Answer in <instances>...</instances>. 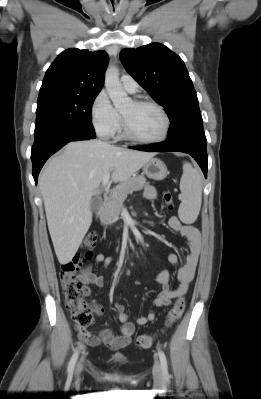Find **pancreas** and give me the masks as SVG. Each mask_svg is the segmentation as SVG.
I'll list each match as a JSON object with an SVG mask.
<instances>
[{
  "label": "pancreas",
  "mask_w": 261,
  "mask_h": 399,
  "mask_svg": "<svg viewBox=\"0 0 261 399\" xmlns=\"http://www.w3.org/2000/svg\"><path fill=\"white\" fill-rule=\"evenodd\" d=\"M148 184L143 175L131 177L119 184L112 191L110 202L104 207L100 215L102 224L108 225L116 222L128 194L133 193V191H139Z\"/></svg>",
  "instance_id": "obj_1"
}]
</instances>
